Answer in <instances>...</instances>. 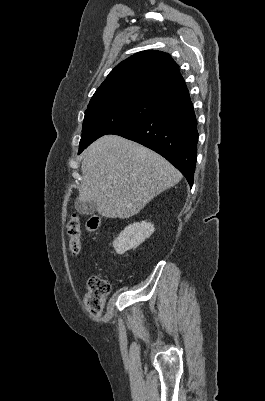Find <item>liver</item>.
<instances>
[{
    "instance_id": "6515ba94",
    "label": "liver",
    "mask_w": 265,
    "mask_h": 401,
    "mask_svg": "<svg viewBox=\"0 0 265 401\" xmlns=\"http://www.w3.org/2000/svg\"><path fill=\"white\" fill-rule=\"evenodd\" d=\"M81 170L80 201H95L99 215L108 219L137 215L182 178L163 156L116 134H105L86 148Z\"/></svg>"
}]
</instances>
